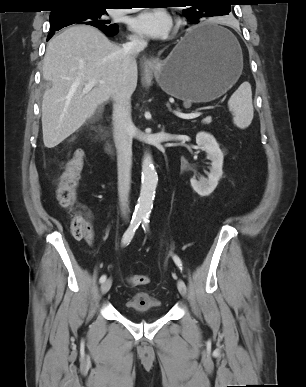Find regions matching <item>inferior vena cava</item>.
Wrapping results in <instances>:
<instances>
[{
	"instance_id": "inferior-vena-cava-1",
	"label": "inferior vena cava",
	"mask_w": 306,
	"mask_h": 387,
	"mask_svg": "<svg viewBox=\"0 0 306 387\" xmlns=\"http://www.w3.org/2000/svg\"><path fill=\"white\" fill-rule=\"evenodd\" d=\"M147 41L140 37H132L122 47V75L113 93V125L114 141L117 149L118 195L122 214L128 212L129 192L131 185L132 166V130L130 84L132 63L135 57L144 50Z\"/></svg>"
}]
</instances>
